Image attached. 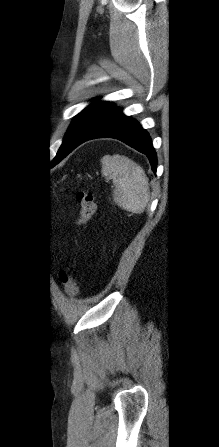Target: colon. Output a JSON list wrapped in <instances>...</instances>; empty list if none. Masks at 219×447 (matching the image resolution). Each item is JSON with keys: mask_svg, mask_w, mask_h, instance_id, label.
I'll list each match as a JSON object with an SVG mask.
<instances>
[{"mask_svg": "<svg viewBox=\"0 0 219 447\" xmlns=\"http://www.w3.org/2000/svg\"><path fill=\"white\" fill-rule=\"evenodd\" d=\"M77 200L79 203L78 225L83 227L89 223L95 213L94 195L90 190L79 189ZM60 278L66 293L71 297L76 296L79 290L75 275L69 270H62Z\"/></svg>", "mask_w": 219, "mask_h": 447, "instance_id": "colon-1", "label": "colon"}]
</instances>
